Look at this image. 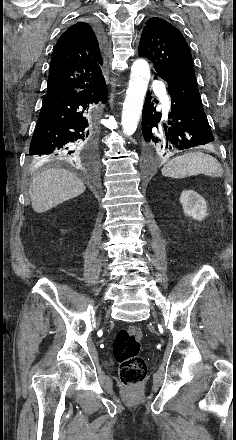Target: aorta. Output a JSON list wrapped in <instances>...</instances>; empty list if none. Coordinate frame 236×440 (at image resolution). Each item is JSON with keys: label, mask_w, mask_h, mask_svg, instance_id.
Instances as JSON below:
<instances>
[{"label": "aorta", "mask_w": 236, "mask_h": 440, "mask_svg": "<svg viewBox=\"0 0 236 440\" xmlns=\"http://www.w3.org/2000/svg\"><path fill=\"white\" fill-rule=\"evenodd\" d=\"M149 80L148 62L144 59H136L131 67L122 111L121 125L125 136L133 135L137 129Z\"/></svg>", "instance_id": "762f6f07"}]
</instances>
